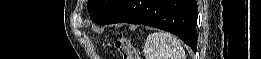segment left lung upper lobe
I'll list each match as a JSON object with an SVG mask.
<instances>
[{"label":"left lung upper lobe","instance_id":"left-lung-upper-lobe-1","mask_svg":"<svg viewBox=\"0 0 261 59\" xmlns=\"http://www.w3.org/2000/svg\"><path fill=\"white\" fill-rule=\"evenodd\" d=\"M119 0H89L88 11L90 18L96 23L100 20Z\"/></svg>","mask_w":261,"mask_h":59}]
</instances>
